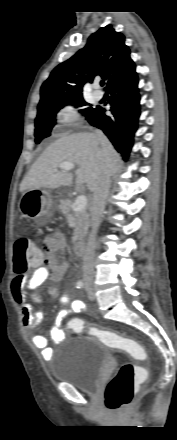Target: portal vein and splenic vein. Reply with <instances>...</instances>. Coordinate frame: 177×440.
Here are the masks:
<instances>
[{
	"mask_svg": "<svg viewBox=\"0 0 177 440\" xmlns=\"http://www.w3.org/2000/svg\"><path fill=\"white\" fill-rule=\"evenodd\" d=\"M75 165L72 162H62L59 165V168L62 170H72L74 169ZM57 171V169H55ZM87 205V198L84 195H80L76 198L74 204H73V210L74 211H82L86 208Z\"/></svg>",
	"mask_w": 177,
	"mask_h": 440,
	"instance_id": "1",
	"label": "portal vein and splenic vein"
}]
</instances>
